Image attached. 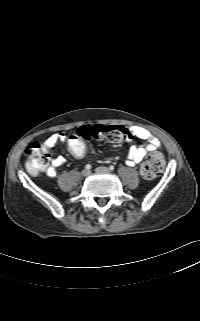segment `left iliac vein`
I'll return each instance as SVG.
<instances>
[{
  "instance_id": "obj_1",
  "label": "left iliac vein",
  "mask_w": 200,
  "mask_h": 321,
  "mask_svg": "<svg viewBox=\"0 0 200 321\" xmlns=\"http://www.w3.org/2000/svg\"><path fill=\"white\" fill-rule=\"evenodd\" d=\"M95 171L98 173H106L109 172V169L107 167H97Z\"/></svg>"
}]
</instances>
